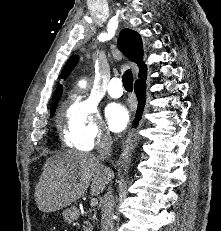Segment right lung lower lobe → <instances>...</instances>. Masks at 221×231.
Instances as JSON below:
<instances>
[{
	"instance_id": "right-lung-lower-lobe-1",
	"label": "right lung lower lobe",
	"mask_w": 221,
	"mask_h": 231,
	"mask_svg": "<svg viewBox=\"0 0 221 231\" xmlns=\"http://www.w3.org/2000/svg\"><path fill=\"white\" fill-rule=\"evenodd\" d=\"M145 81H139L135 82V93L138 99V108H137V114L135 117L134 121V126H137L139 118L142 114L144 105H145V100H146V84Z\"/></svg>"
}]
</instances>
